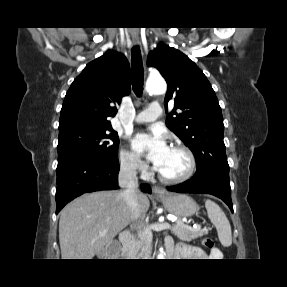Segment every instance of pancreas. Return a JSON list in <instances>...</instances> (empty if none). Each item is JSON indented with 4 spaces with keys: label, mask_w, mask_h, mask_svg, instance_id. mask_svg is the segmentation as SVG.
Wrapping results in <instances>:
<instances>
[{
    "label": "pancreas",
    "mask_w": 287,
    "mask_h": 287,
    "mask_svg": "<svg viewBox=\"0 0 287 287\" xmlns=\"http://www.w3.org/2000/svg\"><path fill=\"white\" fill-rule=\"evenodd\" d=\"M179 222H181V220H178L175 224H173L171 232L180 240L190 242L207 233V230L201 229L200 227L191 228L188 225ZM130 249L131 255L142 256L144 252V243L138 238H134L130 244Z\"/></svg>",
    "instance_id": "cf45deb5"
}]
</instances>
